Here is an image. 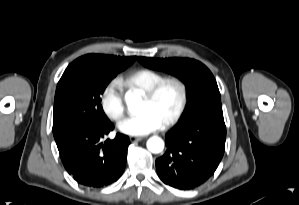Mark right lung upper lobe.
Wrapping results in <instances>:
<instances>
[{
    "instance_id": "obj_1",
    "label": "right lung upper lobe",
    "mask_w": 299,
    "mask_h": 205,
    "mask_svg": "<svg viewBox=\"0 0 299 205\" xmlns=\"http://www.w3.org/2000/svg\"><path fill=\"white\" fill-rule=\"evenodd\" d=\"M136 57H117L111 55H98V54H88L82 56L75 60L76 62L82 64H91V63H108L113 65L118 64H129L131 65L135 61Z\"/></svg>"
}]
</instances>
